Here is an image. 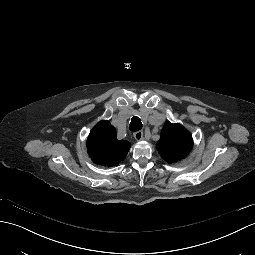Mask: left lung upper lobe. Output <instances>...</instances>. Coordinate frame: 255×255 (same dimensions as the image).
<instances>
[{
	"mask_svg": "<svg viewBox=\"0 0 255 255\" xmlns=\"http://www.w3.org/2000/svg\"><path fill=\"white\" fill-rule=\"evenodd\" d=\"M191 134L180 124L166 122L161 131L157 149L161 157L169 163L185 158L191 151Z\"/></svg>",
	"mask_w": 255,
	"mask_h": 255,
	"instance_id": "1",
	"label": "left lung upper lobe"
}]
</instances>
